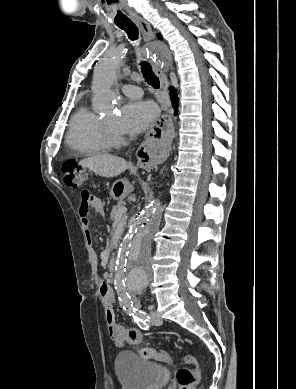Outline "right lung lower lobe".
Segmentation results:
<instances>
[{
	"mask_svg": "<svg viewBox=\"0 0 296 389\" xmlns=\"http://www.w3.org/2000/svg\"><path fill=\"white\" fill-rule=\"evenodd\" d=\"M171 101H172V105L175 108V114H177V111H178V97H177V93H176V91L174 89H173V91L171 93Z\"/></svg>",
	"mask_w": 296,
	"mask_h": 389,
	"instance_id": "1",
	"label": "right lung lower lobe"
}]
</instances>
